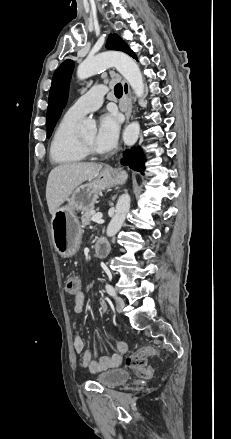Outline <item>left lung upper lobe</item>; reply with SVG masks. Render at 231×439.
I'll return each mask as SVG.
<instances>
[{"mask_svg":"<svg viewBox=\"0 0 231 439\" xmlns=\"http://www.w3.org/2000/svg\"><path fill=\"white\" fill-rule=\"evenodd\" d=\"M107 49L118 50L127 53L133 58L136 56L128 45L117 34H110L106 44ZM74 63L71 60L64 61L55 71L49 93L47 111V137L49 138L58 121L68 98V88Z\"/></svg>","mask_w":231,"mask_h":439,"instance_id":"obj_1","label":"left lung upper lobe"}]
</instances>
